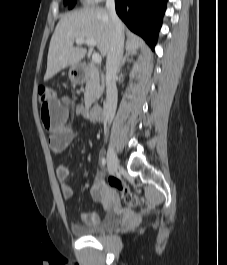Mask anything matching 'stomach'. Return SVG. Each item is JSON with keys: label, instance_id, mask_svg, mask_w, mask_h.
<instances>
[{"label": "stomach", "instance_id": "0dacf381", "mask_svg": "<svg viewBox=\"0 0 227 265\" xmlns=\"http://www.w3.org/2000/svg\"><path fill=\"white\" fill-rule=\"evenodd\" d=\"M68 77L72 83H81L84 80V75L81 67L71 66L68 72Z\"/></svg>", "mask_w": 227, "mask_h": 265}]
</instances>
